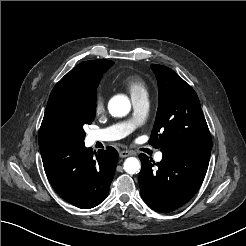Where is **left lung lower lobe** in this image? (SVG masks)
Segmentation results:
<instances>
[{"mask_svg": "<svg viewBox=\"0 0 246 246\" xmlns=\"http://www.w3.org/2000/svg\"><path fill=\"white\" fill-rule=\"evenodd\" d=\"M161 151L163 158L156 164L145 154L139 155V185L143 200L152 209L171 212L187 203L200 188L211 149L171 147Z\"/></svg>", "mask_w": 246, "mask_h": 246, "instance_id": "0a47b994", "label": "left lung lower lobe"}]
</instances>
